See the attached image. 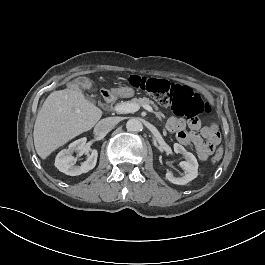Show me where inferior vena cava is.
Segmentation results:
<instances>
[{"instance_id":"inferior-vena-cava-1","label":"inferior vena cava","mask_w":265,"mask_h":265,"mask_svg":"<svg viewBox=\"0 0 265 265\" xmlns=\"http://www.w3.org/2000/svg\"><path fill=\"white\" fill-rule=\"evenodd\" d=\"M115 125L116 121L114 118H104L95 125L93 133L96 137H104Z\"/></svg>"}]
</instances>
